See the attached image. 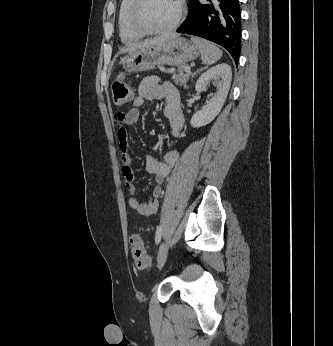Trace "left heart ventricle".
Returning <instances> with one entry per match:
<instances>
[{
	"instance_id": "1",
	"label": "left heart ventricle",
	"mask_w": 333,
	"mask_h": 346,
	"mask_svg": "<svg viewBox=\"0 0 333 346\" xmlns=\"http://www.w3.org/2000/svg\"><path fill=\"white\" fill-rule=\"evenodd\" d=\"M176 13L177 0H146L142 18L151 28L159 29L171 24Z\"/></svg>"
}]
</instances>
